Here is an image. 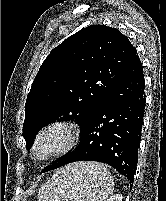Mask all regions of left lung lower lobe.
I'll use <instances>...</instances> for the list:
<instances>
[{
	"instance_id": "left-lung-lower-lobe-1",
	"label": "left lung lower lobe",
	"mask_w": 166,
	"mask_h": 201,
	"mask_svg": "<svg viewBox=\"0 0 166 201\" xmlns=\"http://www.w3.org/2000/svg\"><path fill=\"white\" fill-rule=\"evenodd\" d=\"M143 67L136 54L121 78L81 128L77 149L41 173L76 161H98L115 168L133 184L144 117Z\"/></svg>"
}]
</instances>
